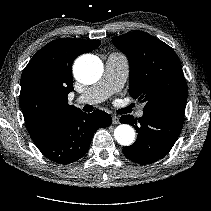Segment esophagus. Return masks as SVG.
I'll list each match as a JSON object with an SVG mask.
<instances>
[{
  "label": "esophagus",
  "mask_w": 211,
  "mask_h": 211,
  "mask_svg": "<svg viewBox=\"0 0 211 211\" xmlns=\"http://www.w3.org/2000/svg\"><path fill=\"white\" fill-rule=\"evenodd\" d=\"M119 117L118 116H112V123L114 124V125H117V124H119Z\"/></svg>",
  "instance_id": "1"
}]
</instances>
